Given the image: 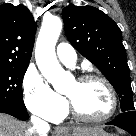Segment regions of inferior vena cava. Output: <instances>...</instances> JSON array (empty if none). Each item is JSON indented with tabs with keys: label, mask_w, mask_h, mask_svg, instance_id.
<instances>
[{
	"label": "inferior vena cava",
	"mask_w": 136,
	"mask_h": 136,
	"mask_svg": "<svg viewBox=\"0 0 136 136\" xmlns=\"http://www.w3.org/2000/svg\"><path fill=\"white\" fill-rule=\"evenodd\" d=\"M31 122L33 124L32 129L39 134V136H46L49 130V124L38 117L32 116Z\"/></svg>",
	"instance_id": "602c4592"
}]
</instances>
